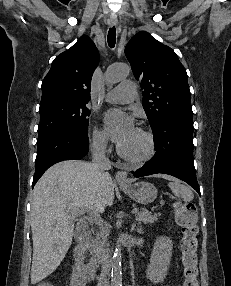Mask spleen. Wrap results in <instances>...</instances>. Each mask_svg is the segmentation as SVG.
<instances>
[{
	"mask_svg": "<svg viewBox=\"0 0 231 286\" xmlns=\"http://www.w3.org/2000/svg\"><path fill=\"white\" fill-rule=\"evenodd\" d=\"M169 180L171 181L168 183V186L176 197H180L186 202L193 200L194 195L189 187L181 184L180 181L176 179L169 178Z\"/></svg>",
	"mask_w": 231,
	"mask_h": 286,
	"instance_id": "obj_1",
	"label": "spleen"
}]
</instances>
